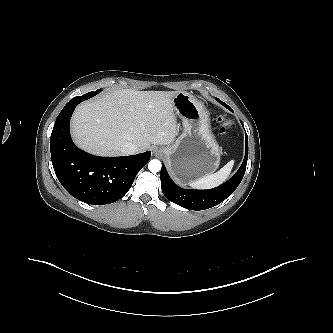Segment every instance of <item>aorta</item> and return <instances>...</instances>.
I'll return each instance as SVG.
<instances>
[{"mask_svg": "<svg viewBox=\"0 0 333 333\" xmlns=\"http://www.w3.org/2000/svg\"><path fill=\"white\" fill-rule=\"evenodd\" d=\"M148 169L153 173L159 172L161 170V162L157 159L149 161Z\"/></svg>", "mask_w": 333, "mask_h": 333, "instance_id": "762f6f07", "label": "aorta"}]
</instances>
